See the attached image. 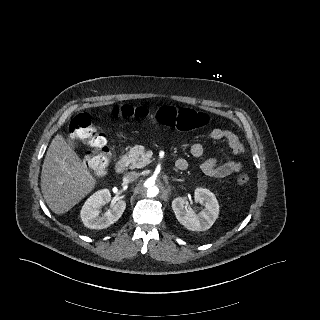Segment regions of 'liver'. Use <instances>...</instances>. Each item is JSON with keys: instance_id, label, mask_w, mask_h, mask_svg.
I'll list each match as a JSON object with an SVG mask.
<instances>
[{"instance_id": "liver-1", "label": "liver", "mask_w": 320, "mask_h": 320, "mask_svg": "<svg viewBox=\"0 0 320 320\" xmlns=\"http://www.w3.org/2000/svg\"><path fill=\"white\" fill-rule=\"evenodd\" d=\"M96 180L62 135L52 140L41 172V191L58 215L68 212L95 187Z\"/></svg>"}]
</instances>
